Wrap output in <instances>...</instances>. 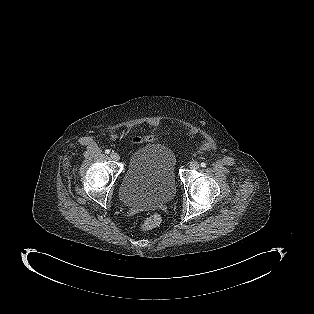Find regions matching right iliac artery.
<instances>
[{
	"mask_svg": "<svg viewBox=\"0 0 314 314\" xmlns=\"http://www.w3.org/2000/svg\"><path fill=\"white\" fill-rule=\"evenodd\" d=\"M105 153H106V154H109V153H110V150H109V149H106V150H105Z\"/></svg>",
	"mask_w": 314,
	"mask_h": 314,
	"instance_id": "obj_1",
	"label": "right iliac artery"
}]
</instances>
